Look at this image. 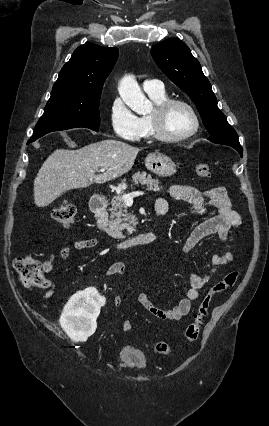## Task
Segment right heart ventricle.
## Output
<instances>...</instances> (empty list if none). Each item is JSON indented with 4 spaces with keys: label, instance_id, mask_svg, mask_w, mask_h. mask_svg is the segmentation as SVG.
Returning a JSON list of instances; mask_svg holds the SVG:
<instances>
[{
    "label": "right heart ventricle",
    "instance_id": "right-heart-ventricle-1",
    "mask_svg": "<svg viewBox=\"0 0 269 426\" xmlns=\"http://www.w3.org/2000/svg\"><path fill=\"white\" fill-rule=\"evenodd\" d=\"M149 97L156 105L168 99L165 93L161 95L149 94ZM139 121L141 125V137H151V131L148 124V116L140 117Z\"/></svg>",
    "mask_w": 269,
    "mask_h": 426
}]
</instances>
